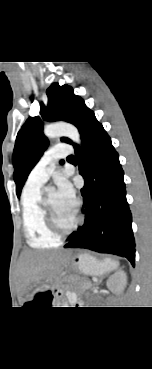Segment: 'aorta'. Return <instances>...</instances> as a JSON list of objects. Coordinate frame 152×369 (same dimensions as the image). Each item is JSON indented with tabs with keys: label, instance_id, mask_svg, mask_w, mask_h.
<instances>
[{
	"label": "aorta",
	"instance_id": "762f6f07",
	"mask_svg": "<svg viewBox=\"0 0 152 369\" xmlns=\"http://www.w3.org/2000/svg\"><path fill=\"white\" fill-rule=\"evenodd\" d=\"M43 132L45 136L48 138H56L60 136H65L77 144L81 143L80 134H79L78 129L74 125L69 124V123L60 122V123L46 125L44 127ZM46 190L48 192H51L53 188L47 187Z\"/></svg>",
	"mask_w": 152,
	"mask_h": 369
}]
</instances>
